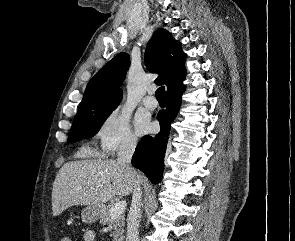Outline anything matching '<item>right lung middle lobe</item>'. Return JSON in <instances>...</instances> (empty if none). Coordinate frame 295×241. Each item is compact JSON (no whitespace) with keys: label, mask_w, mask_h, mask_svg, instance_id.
<instances>
[{"label":"right lung middle lobe","mask_w":295,"mask_h":241,"mask_svg":"<svg viewBox=\"0 0 295 241\" xmlns=\"http://www.w3.org/2000/svg\"><path fill=\"white\" fill-rule=\"evenodd\" d=\"M119 102L115 101L105 105L78 109L68 137V142H78L84 138L94 136L107 117L116 109Z\"/></svg>","instance_id":"right-lung-middle-lobe-1"}]
</instances>
